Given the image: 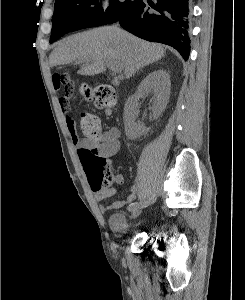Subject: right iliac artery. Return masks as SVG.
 Returning a JSON list of instances; mask_svg holds the SVG:
<instances>
[{
    "instance_id": "right-iliac-artery-1",
    "label": "right iliac artery",
    "mask_w": 245,
    "mask_h": 300,
    "mask_svg": "<svg viewBox=\"0 0 245 300\" xmlns=\"http://www.w3.org/2000/svg\"><path fill=\"white\" fill-rule=\"evenodd\" d=\"M138 204H139L138 202H134V203L130 204L129 210L130 211L133 210Z\"/></svg>"
}]
</instances>
